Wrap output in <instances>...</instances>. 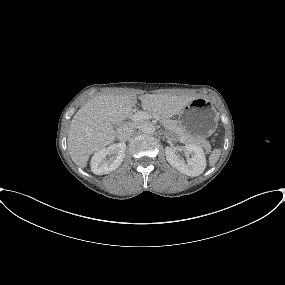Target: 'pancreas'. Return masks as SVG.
<instances>
[{"mask_svg":"<svg viewBox=\"0 0 285 285\" xmlns=\"http://www.w3.org/2000/svg\"><path fill=\"white\" fill-rule=\"evenodd\" d=\"M160 122L162 123V125L166 128L167 132L170 135H177L179 138H183L184 142H188V143H193V144H198L202 147L205 148V150L207 152L210 151L211 147L208 141L204 140V139H196L194 137H190L188 136L181 128L180 126L177 124L176 121L171 120V119H166V118H160Z\"/></svg>","mask_w":285,"mask_h":285,"instance_id":"obj_1","label":"pancreas"}]
</instances>
